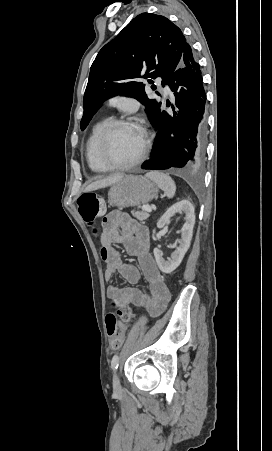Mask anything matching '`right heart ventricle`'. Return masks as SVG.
<instances>
[{"instance_id": "e07e8e85", "label": "right heart ventricle", "mask_w": 272, "mask_h": 451, "mask_svg": "<svg viewBox=\"0 0 272 451\" xmlns=\"http://www.w3.org/2000/svg\"><path fill=\"white\" fill-rule=\"evenodd\" d=\"M105 123H106L105 121H102L93 128L92 134L88 141L87 162L90 171L94 174H100L103 172L97 156V143L100 132Z\"/></svg>"}]
</instances>
